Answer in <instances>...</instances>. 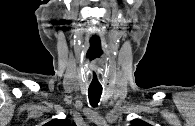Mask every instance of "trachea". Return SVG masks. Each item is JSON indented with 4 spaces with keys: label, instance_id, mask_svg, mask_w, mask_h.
<instances>
[{
    "label": "trachea",
    "instance_id": "trachea-1",
    "mask_svg": "<svg viewBox=\"0 0 195 126\" xmlns=\"http://www.w3.org/2000/svg\"><path fill=\"white\" fill-rule=\"evenodd\" d=\"M102 94V88L100 87H89L88 89V97H89V102L91 106L95 107L98 105L100 101V97Z\"/></svg>",
    "mask_w": 195,
    "mask_h": 126
}]
</instances>
